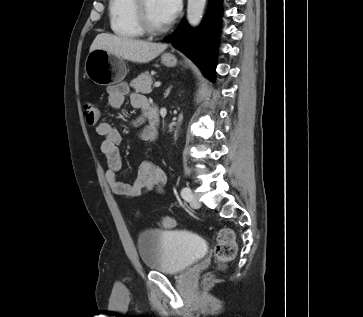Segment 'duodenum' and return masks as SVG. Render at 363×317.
Returning a JSON list of instances; mask_svg holds the SVG:
<instances>
[{"mask_svg":"<svg viewBox=\"0 0 363 317\" xmlns=\"http://www.w3.org/2000/svg\"><path fill=\"white\" fill-rule=\"evenodd\" d=\"M148 117H149V127L148 130V139L151 141H156L158 139V107L156 105L149 106L148 108Z\"/></svg>","mask_w":363,"mask_h":317,"instance_id":"1","label":"duodenum"}]
</instances>
